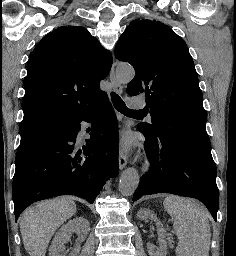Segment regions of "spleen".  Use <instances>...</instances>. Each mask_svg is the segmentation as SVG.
Wrapping results in <instances>:
<instances>
[{
    "mask_svg": "<svg viewBox=\"0 0 236 256\" xmlns=\"http://www.w3.org/2000/svg\"><path fill=\"white\" fill-rule=\"evenodd\" d=\"M163 206L175 218L176 256H209L211 230L205 208L178 196H167Z\"/></svg>",
    "mask_w": 236,
    "mask_h": 256,
    "instance_id": "1",
    "label": "spleen"
}]
</instances>
